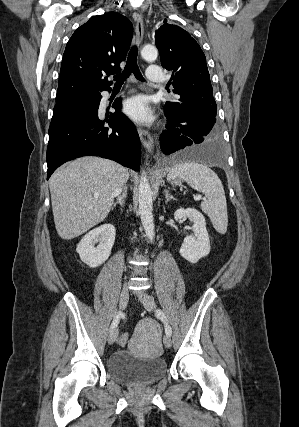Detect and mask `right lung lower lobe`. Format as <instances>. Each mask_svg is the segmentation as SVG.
<instances>
[{
	"instance_id": "obj_1",
	"label": "right lung lower lobe",
	"mask_w": 299,
	"mask_h": 427,
	"mask_svg": "<svg viewBox=\"0 0 299 427\" xmlns=\"http://www.w3.org/2000/svg\"><path fill=\"white\" fill-rule=\"evenodd\" d=\"M110 91V89H107ZM99 92L57 103L49 128L47 179L66 161L81 156H100L138 170L140 139L134 124L120 112V99L113 104L108 124L98 117Z\"/></svg>"
}]
</instances>
